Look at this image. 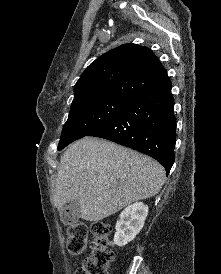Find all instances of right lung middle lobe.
Instances as JSON below:
<instances>
[{"label":"right lung middle lobe","mask_w":221,"mask_h":274,"mask_svg":"<svg viewBox=\"0 0 221 274\" xmlns=\"http://www.w3.org/2000/svg\"><path fill=\"white\" fill-rule=\"evenodd\" d=\"M132 100L119 96H99L73 101L58 150L106 124Z\"/></svg>","instance_id":"dd1d6c3e"}]
</instances>
